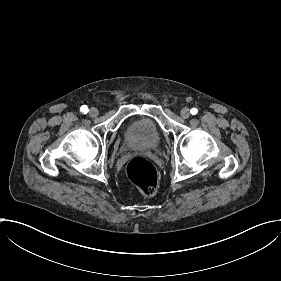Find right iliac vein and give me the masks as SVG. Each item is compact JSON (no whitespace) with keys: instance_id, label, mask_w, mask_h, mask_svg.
<instances>
[{"instance_id":"63e3f726","label":"right iliac vein","mask_w":281,"mask_h":281,"mask_svg":"<svg viewBox=\"0 0 281 281\" xmlns=\"http://www.w3.org/2000/svg\"><path fill=\"white\" fill-rule=\"evenodd\" d=\"M89 114H90V116L95 117V116H97L98 111H97V109L92 108V109H90Z\"/></svg>"}]
</instances>
